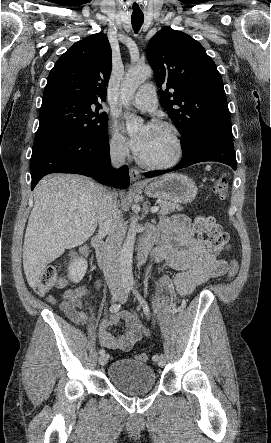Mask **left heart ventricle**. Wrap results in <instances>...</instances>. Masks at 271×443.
<instances>
[{
	"label": "left heart ventricle",
	"mask_w": 271,
	"mask_h": 443,
	"mask_svg": "<svg viewBox=\"0 0 271 443\" xmlns=\"http://www.w3.org/2000/svg\"><path fill=\"white\" fill-rule=\"evenodd\" d=\"M175 152V142L172 133L166 128L152 125L149 142L141 155L150 161H165Z\"/></svg>",
	"instance_id": "left-heart-ventricle-1"
}]
</instances>
